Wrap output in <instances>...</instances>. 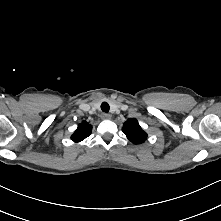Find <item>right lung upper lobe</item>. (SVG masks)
I'll list each match as a JSON object with an SVG mask.
<instances>
[{"label": "right lung upper lobe", "instance_id": "right-lung-upper-lobe-1", "mask_svg": "<svg viewBox=\"0 0 221 221\" xmlns=\"http://www.w3.org/2000/svg\"><path fill=\"white\" fill-rule=\"evenodd\" d=\"M91 130L92 127L86 121H83L81 124L78 125V128L71 136V139L74 142H80L91 134Z\"/></svg>", "mask_w": 221, "mask_h": 221}]
</instances>
